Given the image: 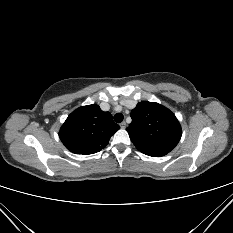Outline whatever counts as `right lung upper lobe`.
<instances>
[{
    "label": "right lung upper lobe",
    "instance_id": "1",
    "mask_svg": "<svg viewBox=\"0 0 233 233\" xmlns=\"http://www.w3.org/2000/svg\"><path fill=\"white\" fill-rule=\"evenodd\" d=\"M119 128L109 112L93 104L73 111L62 125L59 137L69 151L87 155L103 149Z\"/></svg>",
    "mask_w": 233,
    "mask_h": 233
}]
</instances>
